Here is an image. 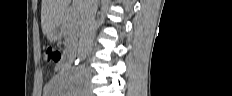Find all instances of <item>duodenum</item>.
<instances>
[{"instance_id": "duodenum-1", "label": "duodenum", "mask_w": 232, "mask_h": 96, "mask_svg": "<svg viewBox=\"0 0 232 96\" xmlns=\"http://www.w3.org/2000/svg\"><path fill=\"white\" fill-rule=\"evenodd\" d=\"M65 59H66V61H74L73 54L70 52L66 53Z\"/></svg>"}]
</instances>
